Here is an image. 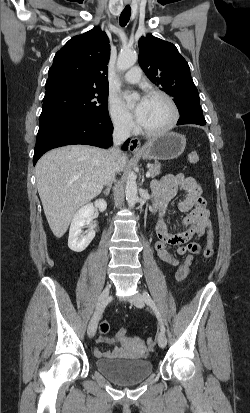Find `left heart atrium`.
I'll return each mask as SVG.
<instances>
[{
    "label": "left heart atrium",
    "mask_w": 250,
    "mask_h": 413,
    "mask_svg": "<svg viewBox=\"0 0 250 413\" xmlns=\"http://www.w3.org/2000/svg\"><path fill=\"white\" fill-rule=\"evenodd\" d=\"M147 100L148 98L143 97L140 99V101L138 102L136 108H135V116L137 118V120L139 122H141L142 118H143V114H144V110L147 104Z\"/></svg>",
    "instance_id": "left-heart-atrium-1"
}]
</instances>
